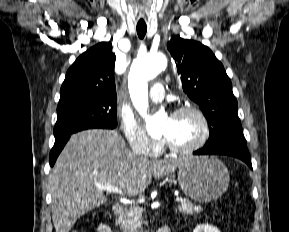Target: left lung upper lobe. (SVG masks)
<instances>
[{"mask_svg": "<svg viewBox=\"0 0 289 232\" xmlns=\"http://www.w3.org/2000/svg\"><path fill=\"white\" fill-rule=\"evenodd\" d=\"M167 48L175 60L182 88L208 120L210 136L204 148L245 143L237 100L223 65L202 43L175 36Z\"/></svg>", "mask_w": 289, "mask_h": 232, "instance_id": "5c2ea615", "label": "left lung upper lobe"}]
</instances>
